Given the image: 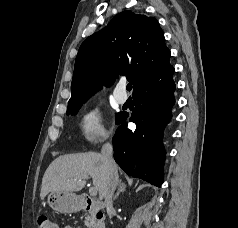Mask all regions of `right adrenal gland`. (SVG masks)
I'll use <instances>...</instances> for the list:
<instances>
[{"label":"right adrenal gland","instance_id":"2a0ac1e0","mask_svg":"<svg viewBox=\"0 0 238 228\" xmlns=\"http://www.w3.org/2000/svg\"><path fill=\"white\" fill-rule=\"evenodd\" d=\"M126 190V185L122 182V180L119 181V185H118V191L114 196V199H117L119 194L121 192H124Z\"/></svg>","mask_w":238,"mask_h":228}]
</instances>
